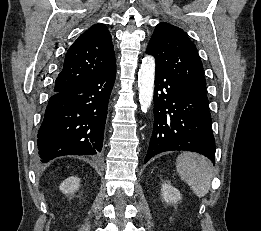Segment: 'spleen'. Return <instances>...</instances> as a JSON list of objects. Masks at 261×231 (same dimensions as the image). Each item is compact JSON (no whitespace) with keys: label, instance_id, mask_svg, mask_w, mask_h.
Listing matches in <instances>:
<instances>
[{"label":"spleen","instance_id":"spleen-1","mask_svg":"<svg viewBox=\"0 0 261 231\" xmlns=\"http://www.w3.org/2000/svg\"><path fill=\"white\" fill-rule=\"evenodd\" d=\"M176 168L184 180L199 198L205 196L210 189L213 167L207 158L194 153L180 154L176 160Z\"/></svg>","mask_w":261,"mask_h":231}]
</instances>
